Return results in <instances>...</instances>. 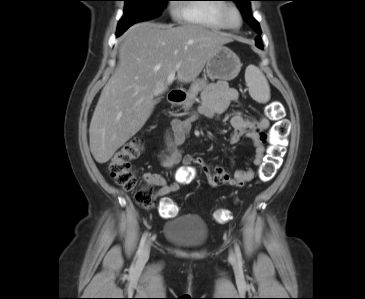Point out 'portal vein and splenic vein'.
Returning <instances> with one entry per match:
<instances>
[{"instance_id": "portal-vein-and-splenic-vein-1", "label": "portal vein and splenic vein", "mask_w": 365, "mask_h": 299, "mask_svg": "<svg viewBox=\"0 0 365 299\" xmlns=\"http://www.w3.org/2000/svg\"><path fill=\"white\" fill-rule=\"evenodd\" d=\"M175 79V71L171 72L167 77V83L171 84Z\"/></svg>"}]
</instances>
